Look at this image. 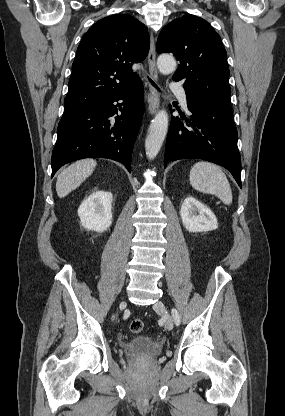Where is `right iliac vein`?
Segmentation results:
<instances>
[{
	"label": "right iliac vein",
	"mask_w": 285,
	"mask_h": 416,
	"mask_svg": "<svg viewBox=\"0 0 285 416\" xmlns=\"http://www.w3.org/2000/svg\"><path fill=\"white\" fill-rule=\"evenodd\" d=\"M124 304H125V301H124V300H122V301L120 302V304H119V307L122 309V308L124 307Z\"/></svg>",
	"instance_id": "obj_1"
}]
</instances>
